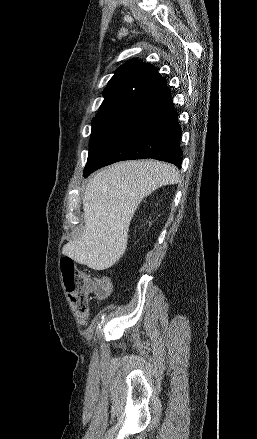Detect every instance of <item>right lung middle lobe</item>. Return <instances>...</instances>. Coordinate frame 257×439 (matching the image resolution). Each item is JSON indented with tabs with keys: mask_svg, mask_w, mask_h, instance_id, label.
I'll use <instances>...</instances> for the list:
<instances>
[{
	"mask_svg": "<svg viewBox=\"0 0 257 439\" xmlns=\"http://www.w3.org/2000/svg\"><path fill=\"white\" fill-rule=\"evenodd\" d=\"M125 121L126 119L119 117H95L92 119L88 161Z\"/></svg>",
	"mask_w": 257,
	"mask_h": 439,
	"instance_id": "right-lung-middle-lobe-1",
	"label": "right lung middle lobe"
}]
</instances>
